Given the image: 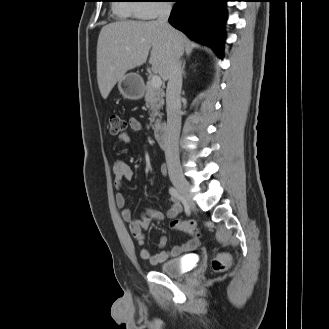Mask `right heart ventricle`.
<instances>
[{
  "label": "right heart ventricle",
  "instance_id": "1",
  "mask_svg": "<svg viewBox=\"0 0 329 329\" xmlns=\"http://www.w3.org/2000/svg\"><path fill=\"white\" fill-rule=\"evenodd\" d=\"M138 4L131 3L130 0H121L115 4L114 11L122 18L137 17L136 10Z\"/></svg>",
  "mask_w": 329,
  "mask_h": 329
}]
</instances>
